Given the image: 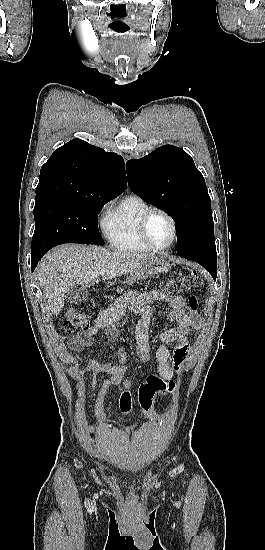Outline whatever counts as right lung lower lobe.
Listing matches in <instances>:
<instances>
[{"instance_id": "1", "label": "right lung lower lobe", "mask_w": 265, "mask_h": 550, "mask_svg": "<svg viewBox=\"0 0 265 550\" xmlns=\"http://www.w3.org/2000/svg\"><path fill=\"white\" fill-rule=\"evenodd\" d=\"M46 252H40V253H33L31 254V270L34 271V269L36 268L37 266V263L38 261L41 259V257L45 254Z\"/></svg>"}]
</instances>
